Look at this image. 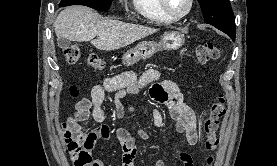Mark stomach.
I'll list each match as a JSON object with an SVG mask.
<instances>
[{
	"label": "stomach",
	"instance_id": "obj_1",
	"mask_svg": "<svg viewBox=\"0 0 277 166\" xmlns=\"http://www.w3.org/2000/svg\"><path fill=\"white\" fill-rule=\"evenodd\" d=\"M185 41L183 34L170 31L165 32L159 42L144 41L134 48L128 50L122 57L125 65L132 66L140 60H145L153 56L157 50L163 48L167 50L179 49Z\"/></svg>",
	"mask_w": 277,
	"mask_h": 166
}]
</instances>
